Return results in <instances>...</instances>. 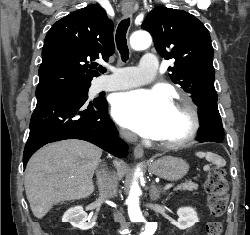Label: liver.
Returning <instances> with one entry per match:
<instances>
[{"label": "liver", "instance_id": "liver-1", "mask_svg": "<svg viewBox=\"0 0 250 235\" xmlns=\"http://www.w3.org/2000/svg\"><path fill=\"white\" fill-rule=\"evenodd\" d=\"M102 150L81 140H64L41 148L29 160L25 171V191L30 208L43 218L63 201L78 200L94 191L93 175ZM117 179L126 172V164L114 161Z\"/></svg>", "mask_w": 250, "mask_h": 235}]
</instances>
